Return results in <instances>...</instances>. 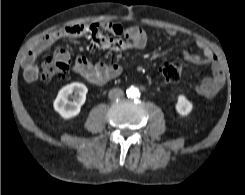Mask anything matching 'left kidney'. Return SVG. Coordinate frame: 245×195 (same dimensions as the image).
I'll use <instances>...</instances> for the list:
<instances>
[{
	"label": "left kidney",
	"mask_w": 245,
	"mask_h": 195,
	"mask_svg": "<svg viewBox=\"0 0 245 195\" xmlns=\"http://www.w3.org/2000/svg\"><path fill=\"white\" fill-rule=\"evenodd\" d=\"M175 108L180 115L187 116L192 111L193 105L184 95H179Z\"/></svg>",
	"instance_id": "1"
}]
</instances>
